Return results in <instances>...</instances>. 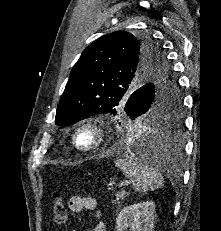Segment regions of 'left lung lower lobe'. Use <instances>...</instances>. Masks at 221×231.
Wrapping results in <instances>:
<instances>
[{
  "label": "left lung lower lobe",
  "mask_w": 221,
  "mask_h": 231,
  "mask_svg": "<svg viewBox=\"0 0 221 231\" xmlns=\"http://www.w3.org/2000/svg\"><path fill=\"white\" fill-rule=\"evenodd\" d=\"M135 95L134 98H136ZM181 97V95H180ZM131 100V104L135 101L138 102L139 99L134 101ZM136 105L132 106V108ZM132 120L137 117L130 116ZM182 121L177 124H170L171 134L167 138H163L161 134L155 132L160 126L157 123L151 125L152 130L149 128H144L141 130H127L122 133L119 137L121 143L133 144L135 147L139 148L142 152H146V161L154 165H161L166 167L175 162L178 156L181 154L182 142L180 139V128ZM163 126V125H162Z\"/></svg>",
  "instance_id": "1"
}]
</instances>
